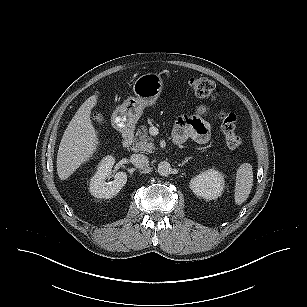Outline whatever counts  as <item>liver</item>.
<instances>
[{
    "label": "liver",
    "instance_id": "obj_1",
    "mask_svg": "<svg viewBox=\"0 0 307 307\" xmlns=\"http://www.w3.org/2000/svg\"><path fill=\"white\" fill-rule=\"evenodd\" d=\"M97 99V95H92L80 106L63 134L57 154L60 180L70 177L97 150L99 141L90 119Z\"/></svg>",
    "mask_w": 307,
    "mask_h": 307
}]
</instances>
